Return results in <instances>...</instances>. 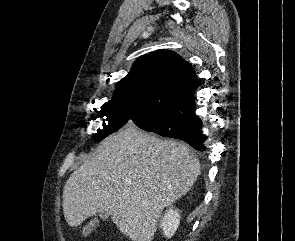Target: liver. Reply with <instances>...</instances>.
<instances>
[{"label": "liver", "instance_id": "obj_1", "mask_svg": "<svg viewBox=\"0 0 295 241\" xmlns=\"http://www.w3.org/2000/svg\"><path fill=\"white\" fill-rule=\"evenodd\" d=\"M200 174L189 148L128 127L106 138L75 170L63 190L72 227L110 210L132 241H151L165 207L186 195Z\"/></svg>", "mask_w": 295, "mask_h": 241}]
</instances>
